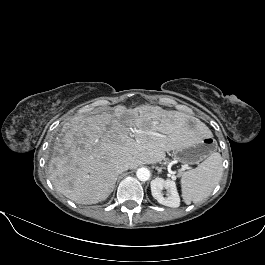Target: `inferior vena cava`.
<instances>
[{
  "instance_id": "602c4592",
  "label": "inferior vena cava",
  "mask_w": 265,
  "mask_h": 265,
  "mask_svg": "<svg viewBox=\"0 0 265 265\" xmlns=\"http://www.w3.org/2000/svg\"><path fill=\"white\" fill-rule=\"evenodd\" d=\"M128 169H130V164L128 162H126V163L120 164L118 166L117 172H118V174H120V173H122Z\"/></svg>"
}]
</instances>
